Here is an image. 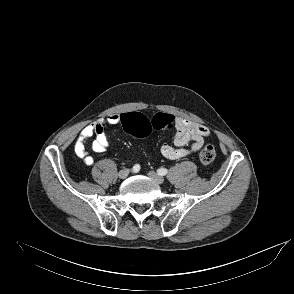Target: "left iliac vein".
Wrapping results in <instances>:
<instances>
[{
    "label": "left iliac vein",
    "mask_w": 294,
    "mask_h": 294,
    "mask_svg": "<svg viewBox=\"0 0 294 294\" xmlns=\"http://www.w3.org/2000/svg\"><path fill=\"white\" fill-rule=\"evenodd\" d=\"M148 176L152 178L158 184H162L164 182V178L156 174L155 172H152V171L148 172Z\"/></svg>",
    "instance_id": "1"
}]
</instances>
